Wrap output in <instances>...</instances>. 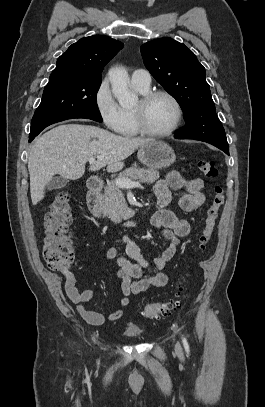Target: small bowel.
<instances>
[{
  "label": "small bowel",
  "instance_id": "obj_1",
  "mask_svg": "<svg viewBox=\"0 0 265 407\" xmlns=\"http://www.w3.org/2000/svg\"><path fill=\"white\" fill-rule=\"evenodd\" d=\"M203 186L202 179L185 178L176 171H171L164 179L155 184L154 192L157 207L151 217V223L160 236L168 242V246L152 261L145 259L138 246L128 238L123 239L125 251L130 258L135 260V263L121 255L119 245L108 249L107 258L113 260L117 265L116 276L121 280L123 293L119 309L115 312L105 316L87 310L84 303L91 300L93 291L91 289L79 290L74 274L67 269L60 270L67 297L77 306L79 314L88 324L99 326L106 322L119 320L123 315V308L129 304L131 295L139 294L149 287L161 288L167 285L168 276L163 270L177 253L181 239L190 234L191 225L189 221L178 218L166 208V205L171 199L172 190H183L180 208L185 212L197 210L205 201V195L202 192ZM149 267H153L155 272L152 274L145 273Z\"/></svg>",
  "mask_w": 265,
  "mask_h": 407
}]
</instances>
